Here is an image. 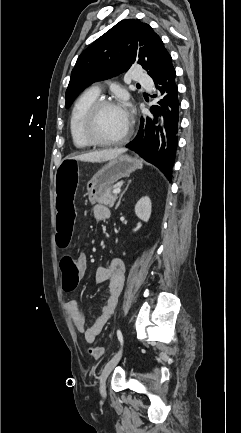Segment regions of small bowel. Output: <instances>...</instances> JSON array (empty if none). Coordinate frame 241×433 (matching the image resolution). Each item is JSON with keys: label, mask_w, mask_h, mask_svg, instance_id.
<instances>
[{"label": "small bowel", "mask_w": 241, "mask_h": 433, "mask_svg": "<svg viewBox=\"0 0 241 433\" xmlns=\"http://www.w3.org/2000/svg\"><path fill=\"white\" fill-rule=\"evenodd\" d=\"M58 172V171H56ZM56 182V180H55ZM93 216L96 220H105L109 218L110 211L107 206L96 204L93 207ZM77 267L80 274H84L87 269V259L81 254L77 261ZM125 265L119 258H112L106 266H99L95 272V280L98 283L108 282L107 297L102 305L101 314L89 325L84 315L81 313L78 303L75 300H69L65 304L68 316L73 322L76 330L84 336L88 343H93L101 333L104 325L113 315L118 303L124 282Z\"/></svg>", "instance_id": "1"}]
</instances>
